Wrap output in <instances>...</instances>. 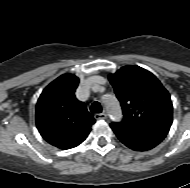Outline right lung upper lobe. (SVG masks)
<instances>
[{"label":"right lung upper lobe","mask_w":190,"mask_h":188,"mask_svg":"<svg viewBox=\"0 0 190 188\" xmlns=\"http://www.w3.org/2000/svg\"><path fill=\"white\" fill-rule=\"evenodd\" d=\"M79 79L63 74L51 82L36 105V124L41 136L51 145L70 149L88 136L95 119L74 93Z\"/></svg>","instance_id":"right-lung-upper-lobe-1"}]
</instances>
